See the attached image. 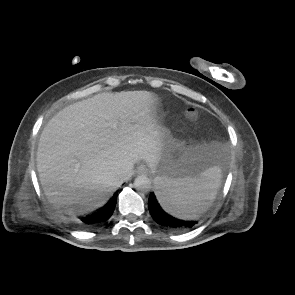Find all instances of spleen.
Returning <instances> with one entry per match:
<instances>
[{
	"mask_svg": "<svg viewBox=\"0 0 295 295\" xmlns=\"http://www.w3.org/2000/svg\"><path fill=\"white\" fill-rule=\"evenodd\" d=\"M221 177L218 166L208 168L199 178L156 177V196L169 214L184 220L198 219L214 201Z\"/></svg>",
	"mask_w": 295,
	"mask_h": 295,
	"instance_id": "obj_1",
	"label": "spleen"
}]
</instances>
